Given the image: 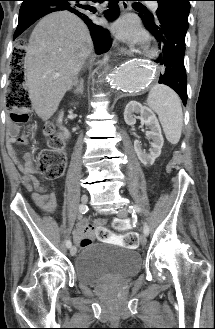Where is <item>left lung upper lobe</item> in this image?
I'll return each mask as SVG.
<instances>
[{
  "label": "left lung upper lobe",
  "mask_w": 215,
  "mask_h": 329,
  "mask_svg": "<svg viewBox=\"0 0 215 329\" xmlns=\"http://www.w3.org/2000/svg\"><path fill=\"white\" fill-rule=\"evenodd\" d=\"M158 2L156 15L144 16L146 22L154 23L159 17L176 21L183 28L188 29V15L191 0H155Z\"/></svg>",
  "instance_id": "left-lung-upper-lobe-1"
}]
</instances>
